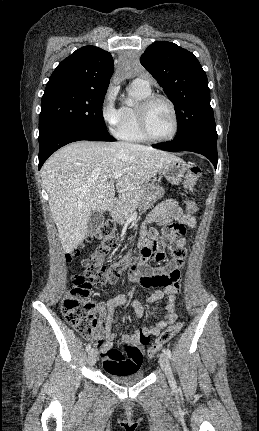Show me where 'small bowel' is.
Returning <instances> with one entry per match:
<instances>
[{
  "instance_id": "1",
  "label": "small bowel",
  "mask_w": 259,
  "mask_h": 431,
  "mask_svg": "<svg viewBox=\"0 0 259 431\" xmlns=\"http://www.w3.org/2000/svg\"><path fill=\"white\" fill-rule=\"evenodd\" d=\"M172 220L183 223L191 228L196 225L195 218L191 217L188 211L184 212L176 200H165L146 218L141 230L139 247L158 237L157 229L149 227L150 224L156 223L158 225H163ZM186 244L187 242L184 238L175 240L171 251L172 259L164 266L152 268L145 265L142 268L135 267L128 273L130 278L134 282L139 283L143 288H160L164 286V290L155 291L147 297L149 303H156L165 297L168 298L166 314L162 320L145 328H135L133 333L122 336L123 343L132 345L138 349L137 357H132L121 349L113 348L115 334L112 330V325L116 309L124 305L132 307L137 320H140L143 316V307L140 302L127 295L117 296L107 303L96 302L97 310L100 314V323L94 336V345L100 352L101 361L105 370L120 372L122 368L128 364L138 369L143 361V354L141 351V346L143 344L140 342L141 332L144 331L149 335H157L177 320L176 295L182 288L180 269L185 263Z\"/></svg>"
}]
</instances>
